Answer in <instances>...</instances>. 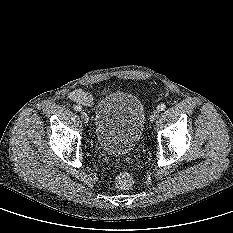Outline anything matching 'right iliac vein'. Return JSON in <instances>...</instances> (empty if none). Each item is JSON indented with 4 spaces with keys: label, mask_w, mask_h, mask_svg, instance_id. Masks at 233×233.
Segmentation results:
<instances>
[{
    "label": "right iliac vein",
    "mask_w": 233,
    "mask_h": 233,
    "mask_svg": "<svg viewBox=\"0 0 233 233\" xmlns=\"http://www.w3.org/2000/svg\"><path fill=\"white\" fill-rule=\"evenodd\" d=\"M80 115H81L82 120H83L85 123H88V122H89V117H88V115H87L85 112H81Z\"/></svg>",
    "instance_id": "right-iliac-vein-1"
}]
</instances>
